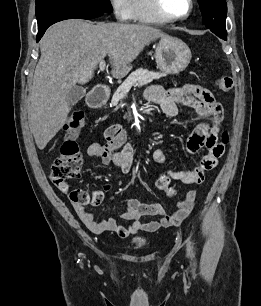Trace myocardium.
Instances as JSON below:
<instances>
[{"mask_svg":"<svg viewBox=\"0 0 261 306\" xmlns=\"http://www.w3.org/2000/svg\"><path fill=\"white\" fill-rule=\"evenodd\" d=\"M188 2H189V9L186 14L182 16H170L163 9L161 0H149V4L153 12L161 19H163L165 22H177L187 19L191 15L194 9V0H188Z\"/></svg>","mask_w":261,"mask_h":306,"instance_id":"f54148a6","label":"myocardium"}]
</instances>
